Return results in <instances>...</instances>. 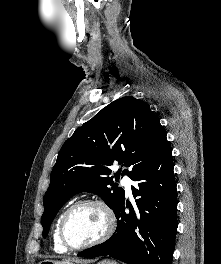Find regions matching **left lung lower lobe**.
I'll return each instance as SVG.
<instances>
[{
  "mask_svg": "<svg viewBox=\"0 0 221 264\" xmlns=\"http://www.w3.org/2000/svg\"><path fill=\"white\" fill-rule=\"evenodd\" d=\"M132 187L139 197L133 209L125 197L116 208L117 229L104 243L79 256H110L127 264H172L177 231L176 183L172 150L167 139L155 158L137 175ZM128 207L130 212L125 213Z\"/></svg>",
  "mask_w": 221,
  "mask_h": 264,
  "instance_id": "left-lung-lower-lobe-1",
  "label": "left lung lower lobe"
}]
</instances>
